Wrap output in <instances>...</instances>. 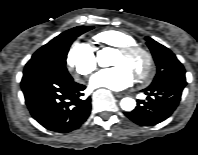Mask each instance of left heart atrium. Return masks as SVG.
<instances>
[{"mask_svg": "<svg viewBox=\"0 0 198 155\" xmlns=\"http://www.w3.org/2000/svg\"><path fill=\"white\" fill-rule=\"evenodd\" d=\"M134 72L125 64L103 69L91 78L93 87H103L114 91L123 90L133 84Z\"/></svg>", "mask_w": 198, "mask_h": 155, "instance_id": "39dd6f15", "label": "left heart atrium"}]
</instances>
